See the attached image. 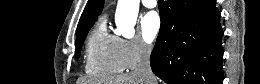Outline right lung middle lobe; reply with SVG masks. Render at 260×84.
I'll list each match as a JSON object with an SVG mask.
<instances>
[{
	"instance_id": "dd1d6c3e",
	"label": "right lung middle lobe",
	"mask_w": 260,
	"mask_h": 84,
	"mask_svg": "<svg viewBox=\"0 0 260 84\" xmlns=\"http://www.w3.org/2000/svg\"><path fill=\"white\" fill-rule=\"evenodd\" d=\"M94 23H92L88 28H86L84 31H82L79 35L76 36V50H75V54L76 57L78 58L80 55V51L83 45V42L87 36V33L89 31V29L92 27Z\"/></svg>"
}]
</instances>
